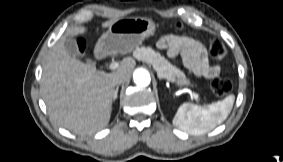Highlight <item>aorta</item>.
I'll return each mask as SVG.
<instances>
[{"instance_id": "1", "label": "aorta", "mask_w": 283, "mask_h": 162, "mask_svg": "<svg viewBox=\"0 0 283 162\" xmlns=\"http://www.w3.org/2000/svg\"><path fill=\"white\" fill-rule=\"evenodd\" d=\"M134 82L137 86L145 87L150 84L151 77L147 70L145 69H137L133 74Z\"/></svg>"}]
</instances>
